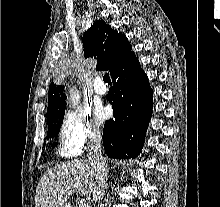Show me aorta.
Instances as JSON below:
<instances>
[{
  "mask_svg": "<svg viewBox=\"0 0 220 207\" xmlns=\"http://www.w3.org/2000/svg\"><path fill=\"white\" fill-rule=\"evenodd\" d=\"M80 99V95L75 89H71V101H72V106L75 107Z\"/></svg>",
  "mask_w": 220,
  "mask_h": 207,
  "instance_id": "aorta-1",
  "label": "aorta"
}]
</instances>
